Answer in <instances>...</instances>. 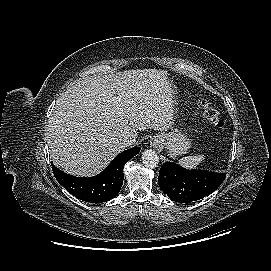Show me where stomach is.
<instances>
[{
    "label": "stomach",
    "instance_id": "stomach-1",
    "mask_svg": "<svg viewBox=\"0 0 271 271\" xmlns=\"http://www.w3.org/2000/svg\"><path fill=\"white\" fill-rule=\"evenodd\" d=\"M158 136L161 137L162 144L171 157L186 154L191 148L188 136L177 128L171 129L169 133H161Z\"/></svg>",
    "mask_w": 271,
    "mask_h": 271
}]
</instances>
